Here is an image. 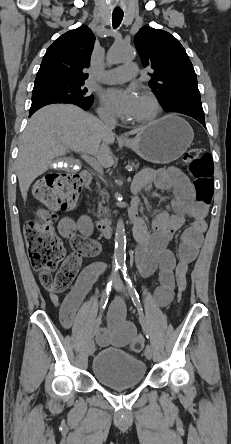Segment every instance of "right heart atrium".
Masks as SVG:
<instances>
[{
  "label": "right heart atrium",
  "mask_w": 231,
  "mask_h": 444,
  "mask_svg": "<svg viewBox=\"0 0 231 444\" xmlns=\"http://www.w3.org/2000/svg\"><path fill=\"white\" fill-rule=\"evenodd\" d=\"M98 112H99L100 116H102L103 118L113 119V114L111 113V111L108 110L104 106H100L99 109H98Z\"/></svg>",
  "instance_id": "1"
}]
</instances>
